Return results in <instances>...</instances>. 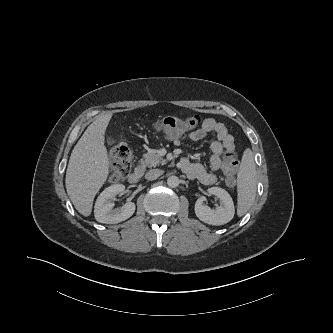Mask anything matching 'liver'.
Wrapping results in <instances>:
<instances>
[{"instance_id": "6515ba94", "label": "liver", "mask_w": 333, "mask_h": 333, "mask_svg": "<svg viewBox=\"0 0 333 333\" xmlns=\"http://www.w3.org/2000/svg\"><path fill=\"white\" fill-rule=\"evenodd\" d=\"M112 118L107 112L91 123L72 150L65 185L76 210L87 217L92 212L95 195L109 175L105 131Z\"/></svg>"}]
</instances>
